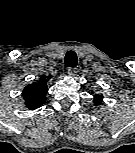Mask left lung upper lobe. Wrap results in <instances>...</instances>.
Listing matches in <instances>:
<instances>
[{"mask_svg": "<svg viewBox=\"0 0 135 153\" xmlns=\"http://www.w3.org/2000/svg\"><path fill=\"white\" fill-rule=\"evenodd\" d=\"M102 101H103V96H102V95H98V94H97V95L94 96L93 102H94L96 105L101 104Z\"/></svg>", "mask_w": 135, "mask_h": 153, "instance_id": "5c2ea615", "label": "left lung upper lobe"}]
</instances>
